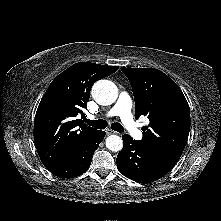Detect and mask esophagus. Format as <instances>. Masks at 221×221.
<instances>
[{"label": "esophagus", "instance_id": "obj_1", "mask_svg": "<svg viewBox=\"0 0 221 221\" xmlns=\"http://www.w3.org/2000/svg\"><path fill=\"white\" fill-rule=\"evenodd\" d=\"M105 132H106L107 135H111V134H115L116 133L112 129H106Z\"/></svg>", "mask_w": 221, "mask_h": 221}]
</instances>
